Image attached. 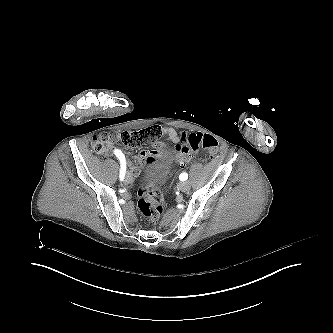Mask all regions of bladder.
<instances>
[{
    "label": "bladder",
    "instance_id": "1",
    "mask_svg": "<svg viewBox=\"0 0 333 333\" xmlns=\"http://www.w3.org/2000/svg\"><path fill=\"white\" fill-rule=\"evenodd\" d=\"M174 154V145L167 144L147 161L140 174L143 186L150 189H161L166 186L174 167Z\"/></svg>",
    "mask_w": 333,
    "mask_h": 333
}]
</instances>
